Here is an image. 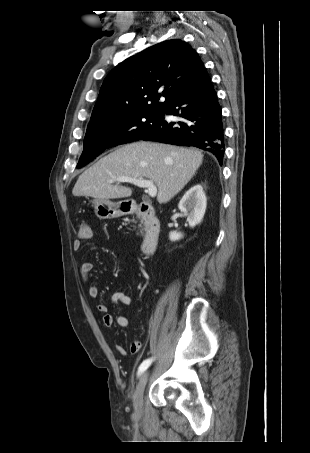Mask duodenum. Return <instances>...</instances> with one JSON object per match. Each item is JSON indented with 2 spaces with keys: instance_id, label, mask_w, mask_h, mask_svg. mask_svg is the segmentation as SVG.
Listing matches in <instances>:
<instances>
[{
  "instance_id": "410a0bca",
  "label": "duodenum",
  "mask_w": 310,
  "mask_h": 453,
  "mask_svg": "<svg viewBox=\"0 0 310 453\" xmlns=\"http://www.w3.org/2000/svg\"><path fill=\"white\" fill-rule=\"evenodd\" d=\"M123 214H134L143 221L145 235L141 250L144 254H152L156 249L161 232L160 221L156 216L154 207L145 202L123 209Z\"/></svg>"
}]
</instances>
